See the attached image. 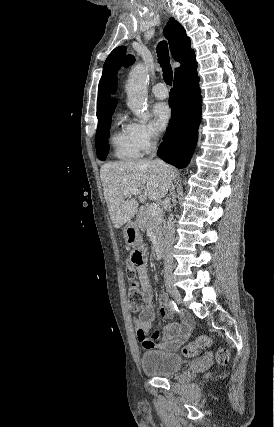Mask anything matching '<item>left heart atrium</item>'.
<instances>
[{"label": "left heart atrium", "instance_id": "left-heart-atrium-1", "mask_svg": "<svg viewBox=\"0 0 274 427\" xmlns=\"http://www.w3.org/2000/svg\"><path fill=\"white\" fill-rule=\"evenodd\" d=\"M153 126L157 131L164 130L169 124L172 111L169 105L165 102H159L153 107Z\"/></svg>", "mask_w": 274, "mask_h": 427}]
</instances>
